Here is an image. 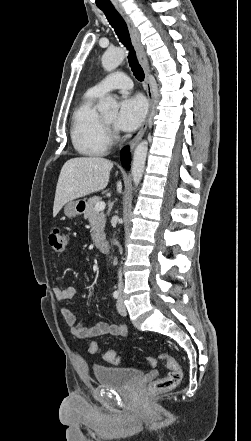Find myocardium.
I'll return each mask as SVG.
<instances>
[{"label": "myocardium", "mask_w": 251, "mask_h": 441, "mask_svg": "<svg viewBox=\"0 0 251 441\" xmlns=\"http://www.w3.org/2000/svg\"><path fill=\"white\" fill-rule=\"evenodd\" d=\"M103 124H104L107 132L112 134V132H111V123H109L105 119H103Z\"/></svg>", "instance_id": "f54148a6"}]
</instances>
